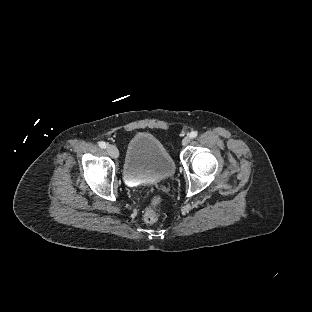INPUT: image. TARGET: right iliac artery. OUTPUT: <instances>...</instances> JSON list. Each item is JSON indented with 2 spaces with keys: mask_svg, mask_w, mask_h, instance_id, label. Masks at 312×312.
I'll return each instance as SVG.
<instances>
[{
  "mask_svg": "<svg viewBox=\"0 0 312 312\" xmlns=\"http://www.w3.org/2000/svg\"><path fill=\"white\" fill-rule=\"evenodd\" d=\"M98 145H99V147H101L103 149H105L106 146H107V144L105 142H103V141L99 142Z\"/></svg>",
  "mask_w": 312,
  "mask_h": 312,
  "instance_id": "1",
  "label": "right iliac artery"
}]
</instances>
